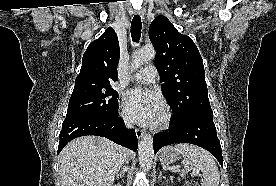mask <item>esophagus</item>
<instances>
[{"mask_svg": "<svg viewBox=\"0 0 276 186\" xmlns=\"http://www.w3.org/2000/svg\"><path fill=\"white\" fill-rule=\"evenodd\" d=\"M137 13L141 16V18H144L145 14H146V11H145L144 8H141V9H139V10L137 11ZM135 132H136L137 138H139V139L142 138L143 135H144V133H145V132H144L143 130H141V129H136Z\"/></svg>", "mask_w": 276, "mask_h": 186, "instance_id": "1", "label": "esophagus"}]
</instances>
